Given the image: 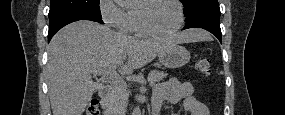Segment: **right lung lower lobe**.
Wrapping results in <instances>:
<instances>
[{
    "instance_id": "1",
    "label": "right lung lower lobe",
    "mask_w": 285,
    "mask_h": 115,
    "mask_svg": "<svg viewBox=\"0 0 285 115\" xmlns=\"http://www.w3.org/2000/svg\"><path fill=\"white\" fill-rule=\"evenodd\" d=\"M78 20H91L98 23H103L101 17L93 16L84 13H71L59 16L51 21H49V32H48V42L54 36V34L60 30L65 25L78 21Z\"/></svg>"
}]
</instances>
